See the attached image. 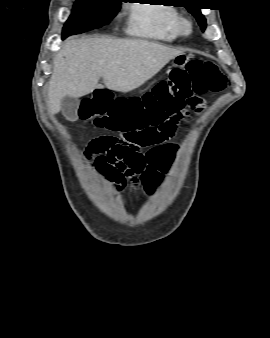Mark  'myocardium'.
<instances>
[{
  "label": "myocardium",
  "mask_w": 270,
  "mask_h": 338,
  "mask_svg": "<svg viewBox=\"0 0 270 338\" xmlns=\"http://www.w3.org/2000/svg\"><path fill=\"white\" fill-rule=\"evenodd\" d=\"M191 22L185 18L180 17L177 23V33L180 35H188L191 32Z\"/></svg>",
  "instance_id": "myocardium-1"
}]
</instances>
